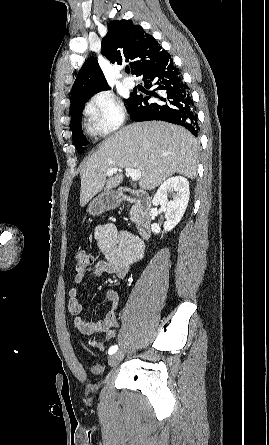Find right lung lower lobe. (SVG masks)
<instances>
[{"label":"right lung lower lobe","mask_w":269,"mask_h":445,"mask_svg":"<svg viewBox=\"0 0 269 445\" xmlns=\"http://www.w3.org/2000/svg\"><path fill=\"white\" fill-rule=\"evenodd\" d=\"M139 76H143L146 88L155 87L154 92L148 95L156 97L157 101L150 103V96L134 94L129 106L131 119L167 121L180 125L197 136L199 127L196 108L189 88L183 82L171 56L167 54L150 64Z\"/></svg>","instance_id":"right-lung-lower-lobe-1"}]
</instances>
